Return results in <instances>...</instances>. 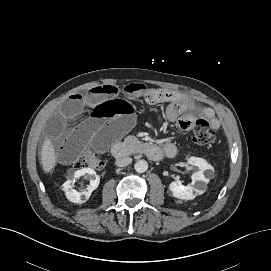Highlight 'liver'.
<instances>
[{"mask_svg": "<svg viewBox=\"0 0 271 271\" xmlns=\"http://www.w3.org/2000/svg\"><path fill=\"white\" fill-rule=\"evenodd\" d=\"M56 153L54 145L48 137L45 138L41 149V163L45 173L51 172L56 166Z\"/></svg>", "mask_w": 271, "mask_h": 271, "instance_id": "1", "label": "liver"}]
</instances>
